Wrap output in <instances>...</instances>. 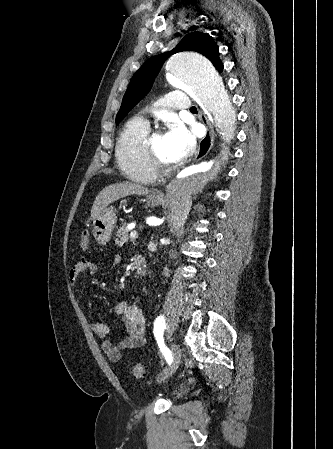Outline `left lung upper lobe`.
<instances>
[{
    "label": "left lung upper lobe",
    "instance_id": "left-lung-upper-lobe-1",
    "mask_svg": "<svg viewBox=\"0 0 333 449\" xmlns=\"http://www.w3.org/2000/svg\"><path fill=\"white\" fill-rule=\"evenodd\" d=\"M181 51L198 52L206 56L217 70L221 72L223 69L219 59L218 45L212 36L199 31L188 33L172 51L151 57L135 72L116 116V124L122 121L127 113L149 92L164 61L171 54Z\"/></svg>",
    "mask_w": 333,
    "mask_h": 449
}]
</instances>
